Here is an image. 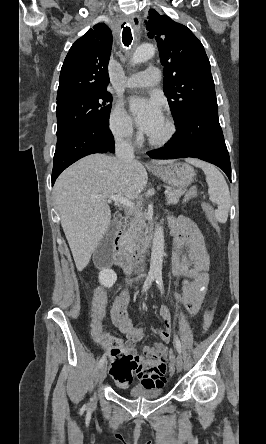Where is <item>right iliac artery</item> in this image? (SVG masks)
Listing matches in <instances>:
<instances>
[{"label": "right iliac artery", "mask_w": 266, "mask_h": 444, "mask_svg": "<svg viewBox=\"0 0 266 444\" xmlns=\"http://www.w3.org/2000/svg\"><path fill=\"white\" fill-rule=\"evenodd\" d=\"M154 279H155V274L149 273L147 278H146V280H145V282H144L142 292H146L148 290V288L150 287V285L152 284ZM105 361H106V354H104L102 356V358L100 359V361H99V368L103 366Z\"/></svg>", "instance_id": "obj_1"}]
</instances>
